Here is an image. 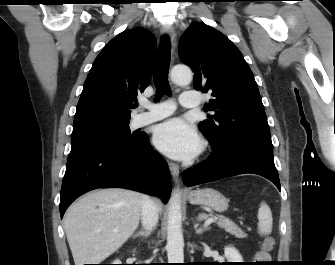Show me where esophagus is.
<instances>
[{"instance_id": "1", "label": "esophagus", "mask_w": 335, "mask_h": 265, "mask_svg": "<svg viewBox=\"0 0 335 265\" xmlns=\"http://www.w3.org/2000/svg\"><path fill=\"white\" fill-rule=\"evenodd\" d=\"M161 33L170 38L172 49L176 46V34L174 29L171 26H162ZM169 169L174 180H177L179 177V166L176 163L169 162Z\"/></svg>"}]
</instances>
